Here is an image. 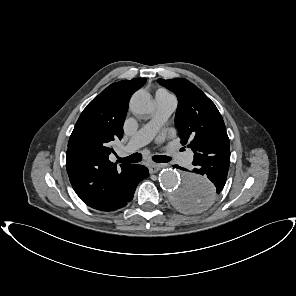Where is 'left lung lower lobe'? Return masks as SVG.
Wrapping results in <instances>:
<instances>
[{"mask_svg": "<svg viewBox=\"0 0 296 296\" xmlns=\"http://www.w3.org/2000/svg\"><path fill=\"white\" fill-rule=\"evenodd\" d=\"M229 164L230 154L228 153L194 159V169L191 171L192 174H188L187 177L202 175L209 178L214 186L211 190L198 191L194 194L182 192V207L191 211H199L209 206L224 188ZM175 167L187 171L178 165H175Z\"/></svg>", "mask_w": 296, "mask_h": 296, "instance_id": "0a47b994", "label": "left lung lower lobe"}]
</instances>
